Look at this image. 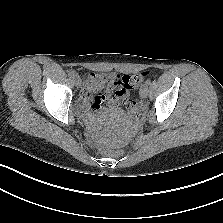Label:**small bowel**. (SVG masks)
Segmentation results:
<instances>
[{"label":"small bowel","instance_id":"small-bowel-1","mask_svg":"<svg viewBox=\"0 0 223 223\" xmlns=\"http://www.w3.org/2000/svg\"><path fill=\"white\" fill-rule=\"evenodd\" d=\"M114 73H91L85 87L81 93V107L83 109L91 108L86 112L88 119H94L96 113L101 111L116 110L120 99L115 95L113 80L116 78Z\"/></svg>","mask_w":223,"mask_h":223}]
</instances>
